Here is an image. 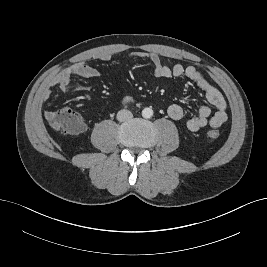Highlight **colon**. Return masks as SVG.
<instances>
[{"label":"colon","instance_id":"5ec220e1","mask_svg":"<svg viewBox=\"0 0 267 267\" xmlns=\"http://www.w3.org/2000/svg\"><path fill=\"white\" fill-rule=\"evenodd\" d=\"M49 123L55 130L65 134L76 133L83 126L81 116L70 108L54 111L49 119ZM207 137L211 140H216L219 137V133L212 129L207 132Z\"/></svg>","mask_w":267,"mask_h":267}]
</instances>
